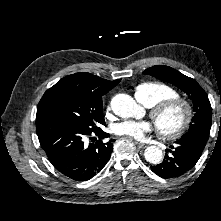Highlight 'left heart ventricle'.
Instances as JSON below:
<instances>
[{
  "label": "left heart ventricle",
  "mask_w": 221,
  "mask_h": 221,
  "mask_svg": "<svg viewBox=\"0 0 221 221\" xmlns=\"http://www.w3.org/2000/svg\"><path fill=\"white\" fill-rule=\"evenodd\" d=\"M181 113L176 107L166 110L160 117L159 123L162 128L170 130L174 128L180 121Z\"/></svg>",
  "instance_id": "b2bd125f"
}]
</instances>
